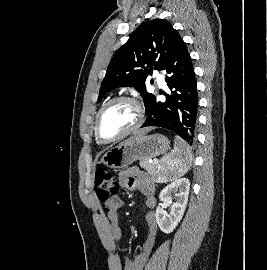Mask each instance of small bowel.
<instances>
[{"label":"small bowel","mask_w":267,"mask_h":270,"mask_svg":"<svg viewBox=\"0 0 267 270\" xmlns=\"http://www.w3.org/2000/svg\"><path fill=\"white\" fill-rule=\"evenodd\" d=\"M121 184L130 190H138L144 194L145 206L149 209L145 214L148 233L140 252L134 258L129 256L116 257L115 264L120 270H142L156 241L157 221L155 213L152 211L156 206V188L150 178L136 167H131L121 173ZM122 203L119 196H114L105 202L109 221V234L113 241H119L122 238L118 215Z\"/></svg>","instance_id":"obj_1"}]
</instances>
